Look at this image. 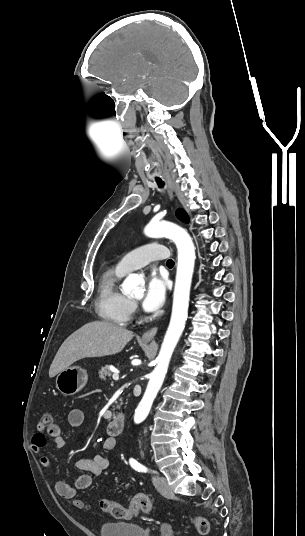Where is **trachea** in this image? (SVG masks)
I'll return each instance as SVG.
<instances>
[{
	"mask_svg": "<svg viewBox=\"0 0 305 536\" xmlns=\"http://www.w3.org/2000/svg\"><path fill=\"white\" fill-rule=\"evenodd\" d=\"M156 183H157V185L159 186V188H163V187H164V182L161 180V178H156ZM174 264H175V263H174L173 260H167L166 265L168 266V268H173Z\"/></svg>",
	"mask_w": 305,
	"mask_h": 536,
	"instance_id": "3493384b",
	"label": "trachea"
}]
</instances>
